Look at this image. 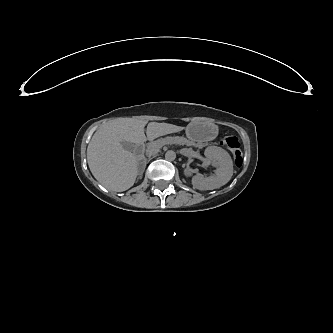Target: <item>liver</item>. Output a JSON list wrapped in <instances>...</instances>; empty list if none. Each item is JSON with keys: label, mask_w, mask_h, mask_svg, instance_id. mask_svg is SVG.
<instances>
[{"label": "liver", "mask_w": 333, "mask_h": 333, "mask_svg": "<svg viewBox=\"0 0 333 333\" xmlns=\"http://www.w3.org/2000/svg\"><path fill=\"white\" fill-rule=\"evenodd\" d=\"M147 136L153 138L149 134ZM146 139L144 134L132 137L101 134L93 137L87 147V161L95 179L113 191L132 187L138 173V161L131 151L122 147L121 142L141 144Z\"/></svg>", "instance_id": "obj_1"}]
</instances>
